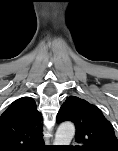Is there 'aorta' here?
Listing matches in <instances>:
<instances>
[{
  "label": "aorta",
  "mask_w": 118,
  "mask_h": 151,
  "mask_svg": "<svg viewBox=\"0 0 118 151\" xmlns=\"http://www.w3.org/2000/svg\"><path fill=\"white\" fill-rule=\"evenodd\" d=\"M75 135V126L71 122H64L58 127L54 145H70Z\"/></svg>",
  "instance_id": "obj_1"
}]
</instances>
